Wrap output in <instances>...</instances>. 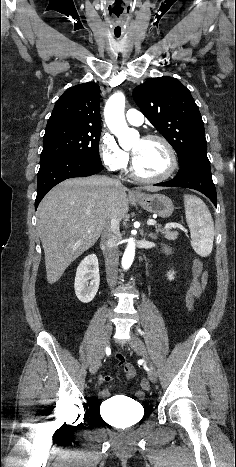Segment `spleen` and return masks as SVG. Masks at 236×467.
<instances>
[{
  "instance_id": "1",
  "label": "spleen",
  "mask_w": 236,
  "mask_h": 467,
  "mask_svg": "<svg viewBox=\"0 0 236 467\" xmlns=\"http://www.w3.org/2000/svg\"><path fill=\"white\" fill-rule=\"evenodd\" d=\"M186 222L191 233V243L195 252L208 256L213 248L214 223L204 202L193 195H184Z\"/></svg>"
}]
</instances>
